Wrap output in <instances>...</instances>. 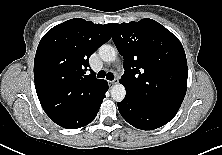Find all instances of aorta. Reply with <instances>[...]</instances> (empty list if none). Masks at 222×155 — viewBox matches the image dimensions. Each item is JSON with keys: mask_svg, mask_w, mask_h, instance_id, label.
Here are the masks:
<instances>
[{"mask_svg": "<svg viewBox=\"0 0 222 155\" xmlns=\"http://www.w3.org/2000/svg\"><path fill=\"white\" fill-rule=\"evenodd\" d=\"M99 56L105 62H113L116 59V50L113 46L104 44L99 48ZM126 95L125 87L120 84L116 83L111 88V97L116 102H121Z\"/></svg>", "mask_w": 222, "mask_h": 155, "instance_id": "obj_1", "label": "aorta"}]
</instances>
